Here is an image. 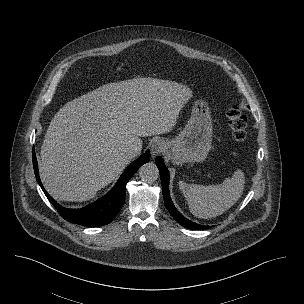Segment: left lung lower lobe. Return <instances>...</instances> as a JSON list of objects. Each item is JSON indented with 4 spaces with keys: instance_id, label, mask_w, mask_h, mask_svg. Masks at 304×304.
<instances>
[{
    "instance_id": "0a47b994",
    "label": "left lung lower lobe",
    "mask_w": 304,
    "mask_h": 304,
    "mask_svg": "<svg viewBox=\"0 0 304 304\" xmlns=\"http://www.w3.org/2000/svg\"><path fill=\"white\" fill-rule=\"evenodd\" d=\"M156 165L160 172L161 184L163 189V196L165 206L175 220L185 228L194 229V230H204L210 228V226H204L197 223H194L181 215V213L175 208L172 203L170 194H169V172L162 160L161 157L156 158Z\"/></svg>"
}]
</instances>
